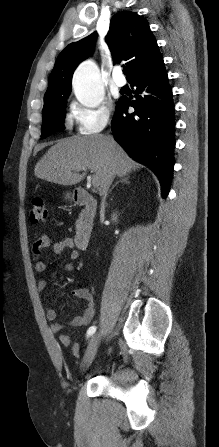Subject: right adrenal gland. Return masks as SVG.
I'll return each mask as SVG.
<instances>
[{"mask_svg": "<svg viewBox=\"0 0 219 447\" xmlns=\"http://www.w3.org/2000/svg\"><path fill=\"white\" fill-rule=\"evenodd\" d=\"M119 182L129 184V183H130V182H129V176H128V175L121 176V177H120V180L117 181V182L112 186V188L110 189L109 192H111L112 189H113Z\"/></svg>", "mask_w": 219, "mask_h": 447, "instance_id": "right-adrenal-gland-1", "label": "right adrenal gland"}]
</instances>
